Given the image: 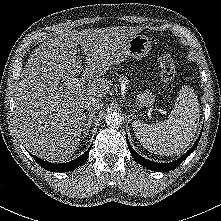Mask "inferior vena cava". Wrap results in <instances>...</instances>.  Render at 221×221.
<instances>
[{
  "label": "inferior vena cava",
  "instance_id": "obj_1",
  "mask_svg": "<svg viewBox=\"0 0 221 221\" xmlns=\"http://www.w3.org/2000/svg\"><path fill=\"white\" fill-rule=\"evenodd\" d=\"M103 105L104 104L101 99H90L86 102L85 107L87 111L91 112V111L99 110L100 108L103 107Z\"/></svg>",
  "mask_w": 221,
  "mask_h": 221
}]
</instances>
